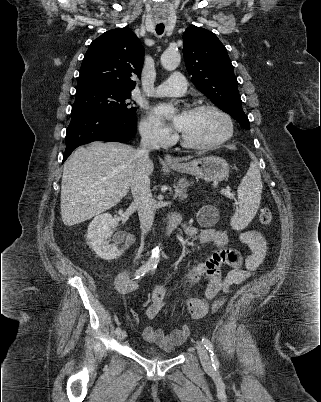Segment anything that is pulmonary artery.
Instances as JSON below:
<instances>
[{
  "mask_svg": "<svg viewBox=\"0 0 321 402\" xmlns=\"http://www.w3.org/2000/svg\"><path fill=\"white\" fill-rule=\"evenodd\" d=\"M186 90L185 78L181 73H174L168 80L157 85L148 92L150 96H179Z\"/></svg>",
  "mask_w": 321,
  "mask_h": 402,
  "instance_id": "obj_1",
  "label": "pulmonary artery"
}]
</instances>
